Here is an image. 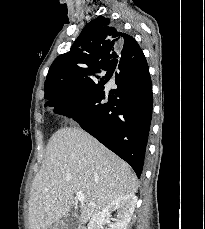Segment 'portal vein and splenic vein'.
Instances as JSON below:
<instances>
[{"mask_svg":"<svg viewBox=\"0 0 205 229\" xmlns=\"http://www.w3.org/2000/svg\"><path fill=\"white\" fill-rule=\"evenodd\" d=\"M85 196L83 192H77L76 193V199L82 202L84 200Z\"/></svg>","mask_w":205,"mask_h":229,"instance_id":"obj_1","label":"portal vein and splenic vein"}]
</instances>
